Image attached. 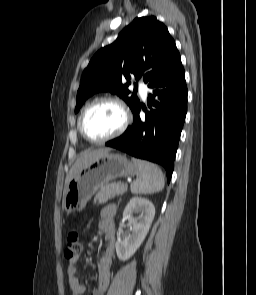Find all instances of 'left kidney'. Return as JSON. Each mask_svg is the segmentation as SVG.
Wrapping results in <instances>:
<instances>
[{
  "label": "left kidney",
  "instance_id": "left-kidney-1",
  "mask_svg": "<svg viewBox=\"0 0 256 295\" xmlns=\"http://www.w3.org/2000/svg\"><path fill=\"white\" fill-rule=\"evenodd\" d=\"M139 213L138 217L134 214ZM155 216V207L149 200L141 197L130 199L123 211V218L131 224V233L116 242V253L121 261L131 258L144 241Z\"/></svg>",
  "mask_w": 256,
  "mask_h": 295
}]
</instances>
